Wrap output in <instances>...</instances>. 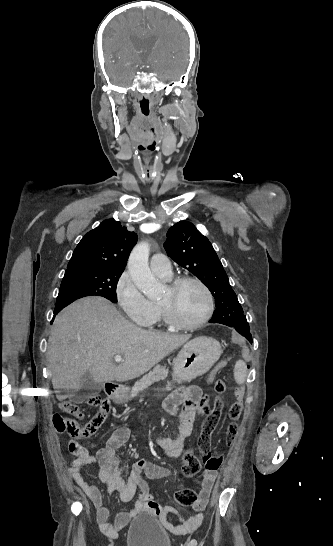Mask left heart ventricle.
<instances>
[{
    "label": "left heart ventricle",
    "instance_id": "b2bd125f",
    "mask_svg": "<svg viewBox=\"0 0 333 546\" xmlns=\"http://www.w3.org/2000/svg\"><path fill=\"white\" fill-rule=\"evenodd\" d=\"M159 303L165 305L179 321L193 323L205 312L206 296L196 284L185 283L175 291L166 288Z\"/></svg>",
    "mask_w": 333,
    "mask_h": 546
}]
</instances>
